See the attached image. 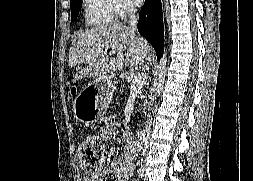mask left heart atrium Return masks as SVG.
I'll return each instance as SVG.
<instances>
[{"label":"left heart atrium","instance_id":"left-heart-atrium-1","mask_svg":"<svg viewBox=\"0 0 253 181\" xmlns=\"http://www.w3.org/2000/svg\"><path fill=\"white\" fill-rule=\"evenodd\" d=\"M131 2L135 5H139L143 2V0H131Z\"/></svg>","mask_w":253,"mask_h":181}]
</instances>
